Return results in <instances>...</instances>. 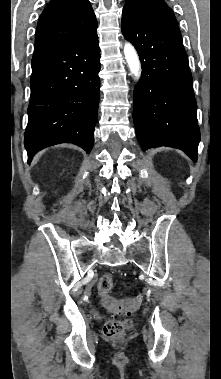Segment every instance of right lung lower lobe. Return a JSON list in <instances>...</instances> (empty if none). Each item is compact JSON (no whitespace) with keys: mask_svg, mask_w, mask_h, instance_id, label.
<instances>
[{"mask_svg":"<svg viewBox=\"0 0 221 379\" xmlns=\"http://www.w3.org/2000/svg\"><path fill=\"white\" fill-rule=\"evenodd\" d=\"M96 30L97 25L82 38L32 58L24 138L28 163L39 150L65 142L90 153L100 99Z\"/></svg>","mask_w":221,"mask_h":379,"instance_id":"obj_1","label":"right lung lower lobe"}]
</instances>
